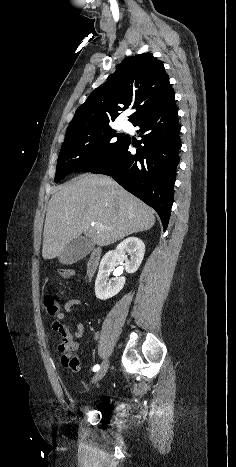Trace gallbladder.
Returning a JSON list of instances; mask_svg holds the SVG:
<instances>
[{
    "instance_id": "bac80fb5",
    "label": "gallbladder",
    "mask_w": 236,
    "mask_h": 467,
    "mask_svg": "<svg viewBox=\"0 0 236 467\" xmlns=\"http://www.w3.org/2000/svg\"><path fill=\"white\" fill-rule=\"evenodd\" d=\"M93 248L90 240L79 237L72 240L60 253L59 262L65 265H71L85 256H87Z\"/></svg>"
}]
</instances>
